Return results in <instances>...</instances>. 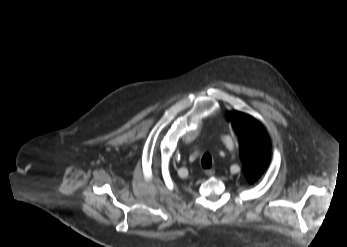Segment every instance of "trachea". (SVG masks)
<instances>
[{
	"mask_svg": "<svg viewBox=\"0 0 347 247\" xmlns=\"http://www.w3.org/2000/svg\"><path fill=\"white\" fill-rule=\"evenodd\" d=\"M201 163H202L203 168H210L212 166V159L208 154H205L202 157Z\"/></svg>",
	"mask_w": 347,
	"mask_h": 247,
	"instance_id": "obj_1",
	"label": "trachea"
}]
</instances>
